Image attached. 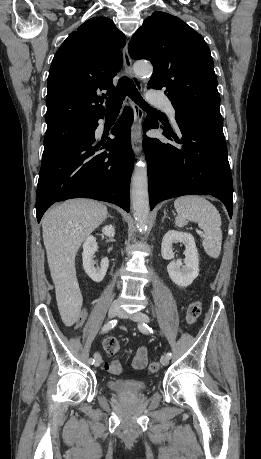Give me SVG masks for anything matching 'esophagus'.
<instances>
[{"mask_svg":"<svg viewBox=\"0 0 261 459\" xmlns=\"http://www.w3.org/2000/svg\"><path fill=\"white\" fill-rule=\"evenodd\" d=\"M123 59H124V67L126 73L128 74L129 78L133 81L136 88L138 90L142 89L141 83L139 79L134 75L132 69V59L128 52V43L123 49ZM135 112H136V121L134 126L133 138H132V148L136 156L139 155L142 146V121H143V111L138 106L135 105Z\"/></svg>","mask_w":261,"mask_h":459,"instance_id":"esophagus-1","label":"esophagus"}]
</instances>
